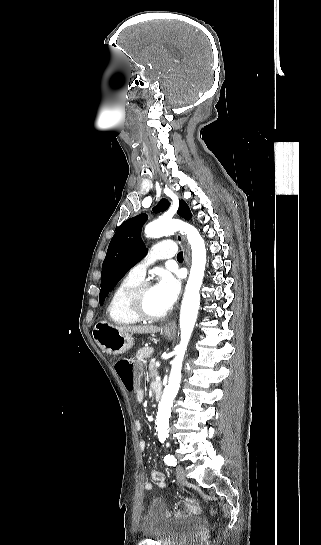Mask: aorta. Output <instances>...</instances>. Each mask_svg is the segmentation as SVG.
<instances>
[{"mask_svg": "<svg viewBox=\"0 0 321 545\" xmlns=\"http://www.w3.org/2000/svg\"><path fill=\"white\" fill-rule=\"evenodd\" d=\"M177 231L186 234L191 245L192 260L180 310L181 342L175 347L176 356L172 361L168 385L164 389L157 413L156 429L158 439L162 442L168 437L171 407L180 386L182 362L198 315L200 288L206 266V248L198 230L181 220L159 218L145 227V234L149 238H160Z\"/></svg>", "mask_w": 321, "mask_h": 545, "instance_id": "aorta-1", "label": "aorta"}]
</instances>
